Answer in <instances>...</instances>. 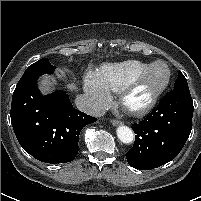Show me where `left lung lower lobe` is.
<instances>
[{"mask_svg":"<svg viewBox=\"0 0 201 201\" xmlns=\"http://www.w3.org/2000/svg\"><path fill=\"white\" fill-rule=\"evenodd\" d=\"M193 110L189 87L167 93L150 115L132 125L136 136L126 153L128 164L150 170L173 160L190 135Z\"/></svg>","mask_w":201,"mask_h":201,"instance_id":"1","label":"left lung lower lobe"}]
</instances>
